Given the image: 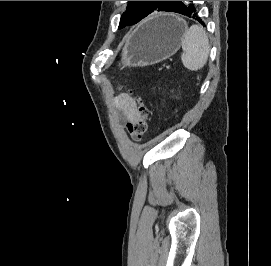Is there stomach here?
<instances>
[{"instance_id": "1", "label": "stomach", "mask_w": 271, "mask_h": 266, "mask_svg": "<svg viewBox=\"0 0 271 266\" xmlns=\"http://www.w3.org/2000/svg\"><path fill=\"white\" fill-rule=\"evenodd\" d=\"M186 23L173 14H158L138 26L122 50L124 67L146 66L161 62L181 46Z\"/></svg>"}]
</instances>
